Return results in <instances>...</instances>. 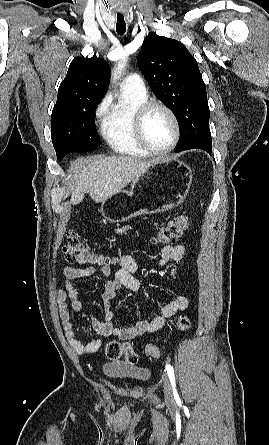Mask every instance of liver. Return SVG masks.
<instances>
[{
    "label": "liver",
    "instance_id": "6515ba94",
    "mask_svg": "<svg viewBox=\"0 0 269 445\" xmlns=\"http://www.w3.org/2000/svg\"><path fill=\"white\" fill-rule=\"evenodd\" d=\"M155 162L141 161L129 156L81 160L73 170L76 174V186L70 202L73 205L79 204L83 201L85 193H89L96 203L104 202Z\"/></svg>",
    "mask_w": 269,
    "mask_h": 445
}]
</instances>
